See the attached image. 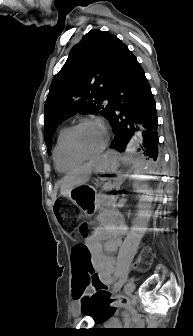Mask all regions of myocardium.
Wrapping results in <instances>:
<instances>
[{"label":"myocardium","instance_id":"obj_1","mask_svg":"<svg viewBox=\"0 0 193 336\" xmlns=\"http://www.w3.org/2000/svg\"><path fill=\"white\" fill-rule=\"evenodd\" d=\"M88 123H96V124L100 125L103 128L104 133H105V137H104V141H103L102 145L97 150H95L93 152L84 151L83 149H81L78 146L77 141H76V134H77L78 130L83 125L88 124ZM109 139H110L109 129H108L107 125L102 120L97 119V118H82L69 129V132H68V135H67V147H68L69 152L72 155H74L76 157L87 159V158H91V157H94V156H97V155L101 154L106 149L107 144L109 142Z\"/></svg>","mask_w":193,"mask_h":336}]
</instances>
